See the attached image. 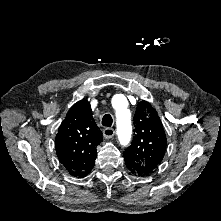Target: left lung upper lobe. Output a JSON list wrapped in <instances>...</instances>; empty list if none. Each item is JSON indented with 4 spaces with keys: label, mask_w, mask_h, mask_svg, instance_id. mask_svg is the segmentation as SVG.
Segmentation results:
<instances>
[{
    "label": "left lung upper lobe",
    "mask_w": 221,
    "mask_h": 221,
    "mask_svg": "<svg viewBox=\"0 0 221 221\" xmlns=\"http://www.w3.org/2000/svg\"><path fill=\"white\" fill-rule=\"evenodd\" d=\"M134 124V138L124 156L149 173L163 160L167 147L166 134L156 110L144 100L137 105Z\"/></svg>",
    "instance_id": "left-lung-upper-lobe-1"
}]
</instances>
